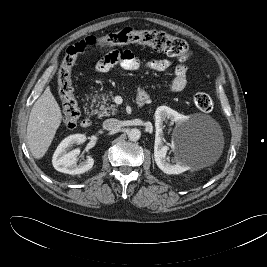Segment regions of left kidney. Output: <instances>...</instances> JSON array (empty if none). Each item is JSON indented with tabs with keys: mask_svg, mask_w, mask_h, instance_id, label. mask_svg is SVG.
Instances as JSON below:
<instances>
[{
	"mask_svg": "<svg viewBox=\"0 0 267 267\" xmlns=\"http://www.w3.org/2000/svg\"><path fill=\"white\" fill-rule=\"evenodd\" d=\"M169 119L171 122H175L178 125L186 122L188 120L187 116H184L177 111L167 107V106H160L155 111V127H156V134L161 135L163 132V122ZM168 147L163 146L162 142L159 138L155 141L154 146V160L157 166L168 175H177L181 174L190 169V166L187 164L176 161L175 164H172L166 158Z\"/></svg>",
	"mask_w": 267,
	"mask_h": 267,
	"instance_id": "obj_1",
	"label": "left kidney"
}]
</instances>
